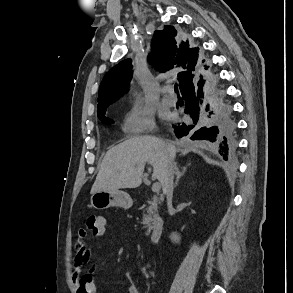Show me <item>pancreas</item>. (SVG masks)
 Returning a JSON list of instances; mask_svg holds the SVG:
<instances>
[{"instance_id": "1", "label": "pancreas", "mask_w": 293, "mask_h": 293, "mask_svg": "<svg viewBox=\"0 0 293 293\" xmlns=\"http://www.w3.org/2000/svg\"><path fill=\"white\" fill-rule=\"evenodd\" d=\"M150 204L149 208L147 209V214L144 215L143 224L145 227L148 228L147 232L150 233L152 226L151 222L157 217L158 212V203L157 200L148 201Z\"/></svg>"}]
</instances>
